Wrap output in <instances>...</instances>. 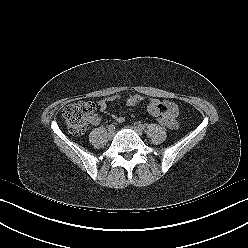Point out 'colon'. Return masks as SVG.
<instances>
[{
	"label": "colon",
	"instance_id": "5ec220e1",
	"mask_svg": "<svg viewBox=\"0 0 248 248\" xmlns=\"http://www.w3.org/2000/svg\"><path fill=\"white\" fill-rule=\"evenodd\" d=\"M95 106L88 101H80L67 105L63 110V119L69 130L74 135L83 134L92 118ZM157 122L164 127H168L169 121L163 116L157 118Z\"/></svg>",
	"mask_w": 248,
	"mask_h": 248
}]
</instances>
